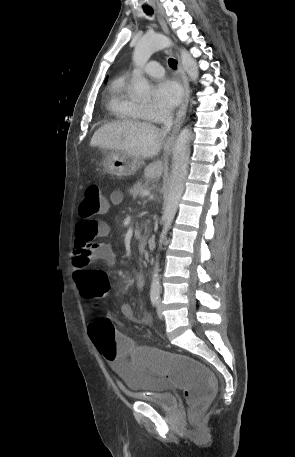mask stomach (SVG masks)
<instances>
[{
  "instance_id": "1",
  "label": "stomach",
  "mask_w": 295,
  "mask_h": 457,
  "mask_svg": "<svg viewBox=\"0 0 295 457\" xmlns=\"http://www.w3.org/2000/svg\"><path fill=\"white\" fill-rule=\"evenodd\" d=\"M140 159L120 151L104 152V169L107 173L118 177L134 174L141 165Z\"/></svg>"
}]
</instances>
